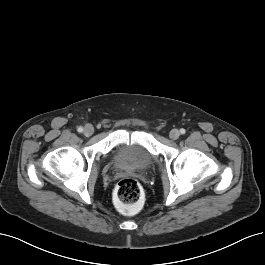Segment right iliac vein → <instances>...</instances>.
Segmentation results:
<instances>
[{"instance_id":"63e3f726","label":"right iliac vein","mask_w":265,"mask_h":265,"mask_svg":"<svg viewBox=\"0 0 265 265\" xmlns=\"http://www.w3.org/2000/svg\"><path fill=\"white\" fill-rule=\"evenodd\" d=\"M94 133V128L91 124H87L84 128V135L91 136Z\"/></svg>"}]
</instances>
